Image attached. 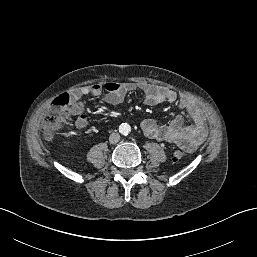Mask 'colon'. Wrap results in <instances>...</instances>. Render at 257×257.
Wrapping results in <instances>:
<instances>
[{"instance_id": "5ec220e1", "label": "colon", "mask_w": 257, "mask_h": 257, "mask_svg": "<svg viewBox=\"0 0 257 257\" xmlns=\"http://www.w3.org/2000/svg\"><path fill=\"white\" fill-rule=\"evenodd\" d=\"M70 96L68 93H62L55 97L48 106L42 117V130L45 139L53 138L55 132L65 126L70 118ZM185 156L183 150H177L173 154V161L178 162Z\"/></svg>"}]
</instances>
